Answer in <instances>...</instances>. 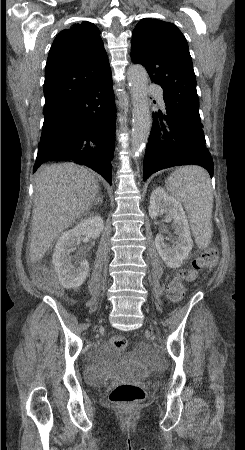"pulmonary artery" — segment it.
<instances>
[{"label": "pulmonary artery", "mask_w": 245, "mask_h": 450, "mask_svg": "<svg viewBox=\"0 0 245 450\" xmlns=\"http://www.w3.org/2000/svg\"><path fill=\"white\" fill-rule=\"evenodd\" d=\"M150 87H154V84L153 83H151L150 84ZM157 97H158V99H159V101L162 103V104H164V101H163V98H162V92L161 91H158L157 93Z\"/></svg>", "instance_id": "1"}]
</instances>
